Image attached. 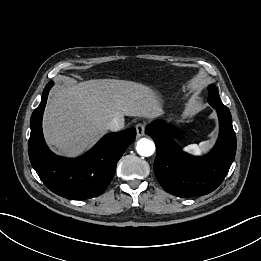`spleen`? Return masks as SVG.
Masks as SVG:
<instances>
[{
	"label": "spleen",
	"instance_id": "1",
	"mask_svg": "<svg viewBox=\"0 0 261 261\" xmlns=\"http://www.w3.org/2000/svg\"><path fill=\"white\" fill-rule=\"evenodd\" d=\"M209 147H210V141H203L199 145L197 144L188 145L184 147L183 150L189 154L199 156L206 153Z\"/></svg>",
	"mask_w": 261,
	"mask_h": 261
}]
</instances>
